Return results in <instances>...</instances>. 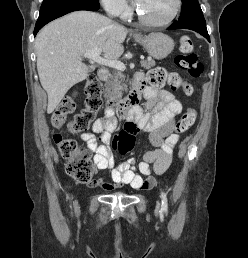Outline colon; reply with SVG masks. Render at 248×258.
<instances>
[{"label":"colon","instance_id":"colon-1","mask_svg":"<svg viewBox=\"0 0 248 258\" xmlns=\"http://www.w3.org/2000/svg\"><path fill=\"white\" fill-rule=\"evenodd\" d=\"M181 52L176 55V65L193 78H198L203 72V67L197 56L192 52L194 43L189 36H182L179 39ZM148 82L155 87H162L165 84L173 89L180 88L185 95L193 94V86L190 81H182L177 75L167 72L163 68H155L149 71ZM102 84L96 76H90L85 85V107L67 125L69 132L79 133L88 129L94 120L96 113L102 105ZM75 101L67 97L57 106L51 116V123L54 127L60 128L65 124L68 114L74 111ZM196 120V111L188 109L177 121L174 131L177 134L185 133L191 129ZM55 145L62 157L67 160L66 171L77 182L90 183L93 181V166L89 158L82 153L78 143L71 138L61 134L53 136ZM115 149L124 155H131L134 149L133 137L123 128L113 140Z\"/></svg>","mask_w":248,"mask_h":258}]
</instances>
